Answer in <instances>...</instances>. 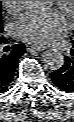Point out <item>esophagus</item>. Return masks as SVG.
Wrapping results in <instances>:
<instances>
[{"instance_id": "obj_1", "label": "esophagus", "mask_w": 74, "mask_h": 122, "mask_svg": "<svg viewBox=\"0 0 74 122\" xmlns=\"http://www.w3.org/2000/svg\"><path fill=\"white\" fill-rule=\"evenodd\" d=\"M46 49V46L43 45H26V50L29 52H40Z\"/></svg>"}]
</instances>
